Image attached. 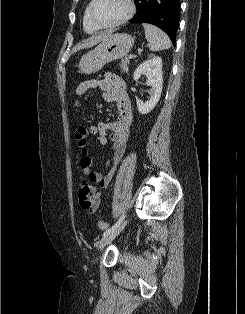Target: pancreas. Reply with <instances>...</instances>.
<instances>
[{"mask_svg": "<svg viewBox=\"0 0 245 314\" xmlns=\"http://www.w3.org/2000/svg\"><path fill=\"white\" fill-rule=\"evenodd\" d=\"M130 61L127 57L123 58L120 62V68L121 71L124 73H128V65H129Z\"/></svg>", "mask_w": 245, "mask_h": 314, "instance_id": "1", "label": "pancreas"}]
</instances>
